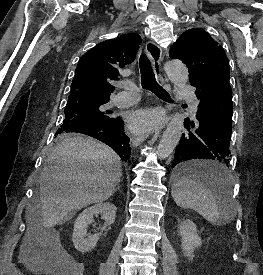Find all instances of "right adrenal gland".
Returning <instances> with one entry per match:
<instances>
[{
  "label": "right adrenal gland",
  "instance_id": "right-adrenal-gland-1",
  "mask_svg": "<svg viewBox=\"0 0 263 275\" xmlns=\"http://www.w3.org/2000/svg\"><path fill=\"white\" fill-rule=\"evenodd\" d=\"M115 191H120V184L118 183V185H117V188H115V190H114V192Z\"/></svg>",
  "mask_w": 263,
  "mask_h": 275
}]
</instances>
